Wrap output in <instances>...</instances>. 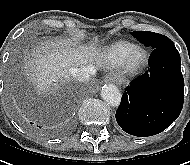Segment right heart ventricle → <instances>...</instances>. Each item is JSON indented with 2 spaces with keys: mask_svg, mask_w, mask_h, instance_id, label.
<instances>
[{
  "mask_svg": "<svg viewBox=\"0 0 190 165\" xmlns=\"http://www.w3.org/2000/svg\"><path fill=\"white\" fill-rule=\"evenodd\" d=\"M137 48L138 46L134 43L120 40L106 48L103 52V58L110 66H122L125 64L129 55Z\"/></svg>",
  "mask_w": 190,
  "mask_h": 165,
  "instance_id": "right-heart-ventricle-1",
  "label": "right heart ventricle"
}]
</instances>
